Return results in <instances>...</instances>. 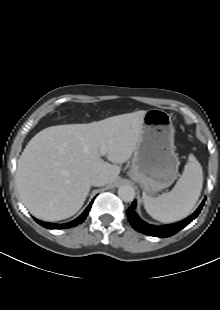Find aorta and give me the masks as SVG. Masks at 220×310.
Here are the masks:
<instances>
[{"instance_id": "aorta-1", "label": "aorta", "mask_w": 220, "mask_h": 310, "mask_svg": "<svg viewBox=\"0 0 220 310\" xmlns=\"http://www.w3.org/2000/svg\"><path fill=\"white\" fill-rule=\"evenodd\" d=\"M118 195L124 202H131L135 198V190L129 185L120 186Z\"/></svg>"}]
</instances>
